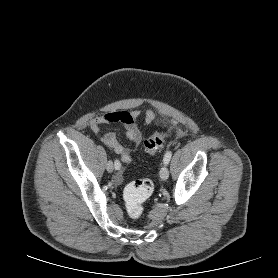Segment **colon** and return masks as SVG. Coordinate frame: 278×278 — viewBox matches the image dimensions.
<instances>
[{"label": "colon", "mask_w": 278, "mask_h": 278, "mask_svg": "<svg viewBox=\"0 0 278 278\" xmlns=\"http://www.w3.org/2000/svg\"><path fill=\"white\" fill-rule=\"evenodd\" d=\"M166 133L155 132L144 141V148L149 154H156L165 143ZM154 183L148 178L128 184L124 190V201L127 214L132 219H139L144 212V203L150 197Z\"/></svg>", "instance_id": "1"}]
</instances>
